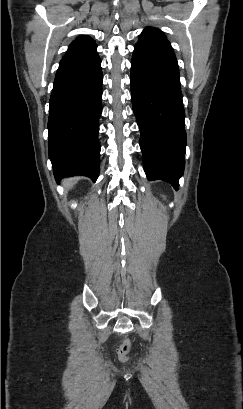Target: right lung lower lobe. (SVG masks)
<instances>
[{
  "label": "right lung lower lobe",
  "mask_w": 243,
  "mask_h": 409,
  "mask_svg": "<svg viewBox=\"0 0 243 409\" xmlns=\"http://www.w3.org/2000/svg\"><path fill=\"white\" fill-rule=\"evenodd\" d=\"M96 45L60 61L50 97L49 158L57 181L99 176L102 70Z\"/></svg>",
  "instance_id": "right-lung-lower-lobe-1"
}]
</instances>
